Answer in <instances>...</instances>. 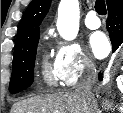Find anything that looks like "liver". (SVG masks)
I'll use <instances>...</instances> for the list:
<instances>
[{
    "instance_id": "1",
    "label": "liver",
    "mask_w": 123,
    "mask_h": 113,
    "mask_svg": "<svg viewBox=\"0 0 123 113\" xmlns=\"http://www.w3.org/2000/svg\"><path fill=\"white\" fill-rule=\"evenodd\" d=\"M92 111L76 92L35 96L15 104L13 113H89Z\"/></svg>"
}]
</instances>
